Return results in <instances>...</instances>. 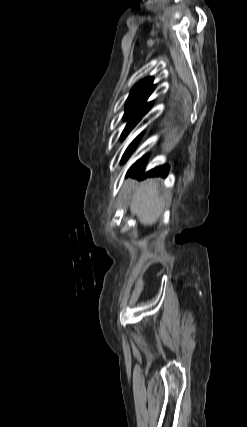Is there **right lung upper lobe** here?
I'll use <instances>...</instances> for the list:
<instances>
[{"label": "right lung upper lobe", "instance_id": "1", "mask_svg": "<svg viewBox=\"0 0 247 427\" xmlns=\"http://www.w3.org/2000/svg\"><path fill=\"white\" fill-rule=\"evenodd\" d=\"M152 82L153 78L147 77L134 86L126 101L125 114H145L150 109L152 102L146 101L155 88Z\"/></svg>", "mask_w": 247, "mask_h": 427}]
</instances>
